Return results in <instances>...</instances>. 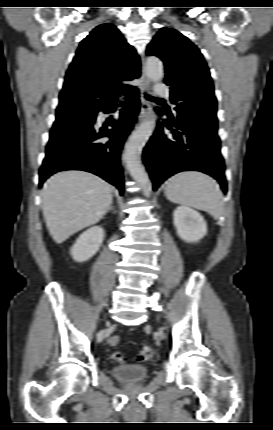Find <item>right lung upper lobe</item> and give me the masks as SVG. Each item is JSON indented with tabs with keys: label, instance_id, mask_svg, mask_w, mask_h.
<instances>
[{
	"label": "right lung upper lobe",
	"instance_id": "1",
	"mask_svg": "<svg viewBox=\"0 0 273 430\" xmlns=\"http://www.w3.org/2000/svg\"><path fill=\"white\" fill-rule=\"evenodd\" d=\"M140 76V59L118 29L97 26L81 41L65 76L59 106L81 101L91 107L133 88L122 81ZM58 106V107H59Z\"/></svg>",
	"mask_w": 273,
	"mask_h": 430
}]
</instances>
